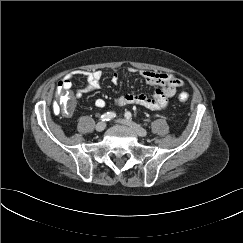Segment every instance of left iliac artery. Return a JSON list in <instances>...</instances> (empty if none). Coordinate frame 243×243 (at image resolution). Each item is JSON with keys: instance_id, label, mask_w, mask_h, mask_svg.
<instances>
[{"instance_id": "left-iliac-artery-1", "label": "left iliac artery", "mask_w": 243, "mask_h": 243, "mask_svg": "<svg viewBox=\"0 0 243 243\" xmlns=\"http://www.w3.org/2000/svg\"><path fill=\"white\" fill-rule=\"evenodd\" d=\"M125 117L128 119V120H131L132 119V114H131V112H126L125 113Z\"/></svg>"}]
</instances>
